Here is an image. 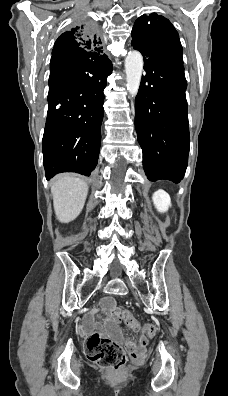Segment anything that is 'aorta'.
<instances>
[{
  "instance_id": "762f6f07",
  "label": "aorta",
  "mask_w": 228,
  "mask_h": 396,
  "mask_svg": "<svg viewBox=\"0 0 228 396\" xmlns=\"http://www.w3.org/2000/svg\"><path fill=\"white\" fill-rule=\"evenodd\" d=\"M143 71V57L138 51H130L125 59L127 90L132 97L138 93Z\"/></svg>"
}]
</instances>
